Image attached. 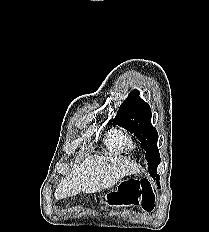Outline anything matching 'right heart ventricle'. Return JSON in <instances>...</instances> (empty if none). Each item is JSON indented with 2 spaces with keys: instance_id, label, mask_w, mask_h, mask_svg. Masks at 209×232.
Listing matches in <instances>:
<instances>
[{
  "instance_id": "right-heart-ventricle-1",
  "label": "right heart ventricle",
  "mask_w": 209,
  "mask_h": 232,
  "mask_svg": "<svg viewBox=\"0 0 209 232\" xmlns=\"http://www.w3.org/2000/svg\"><path fill=\"white\" fill-rule=\"evenodd\" d=\"M105 143L107 147L114 152H119L124 149L118 140L117 130H113L108 134Z\"/></svg>"
}]
</instances>
